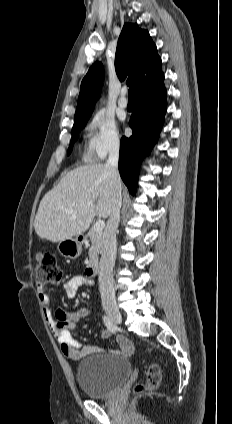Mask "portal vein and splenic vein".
Returning <instances> with one entry per match:
<instances>
[{"label":"portal vein and splenic vein","instance_id":"obj_1","mask_svg":"<svg viewBox=\"0 0 232 424\" xmlns=\"http://www.w3.org/2000/svg\"><path fill=\"white\" fill-rule=\"evenodd\" d=\"M71 211H73V210H71ZM104 227H105V222L103 220H98L94 225V228L98 231L103 230Z\"/></svg>","mask_w":232,"mask_h":424}]
</instances>
